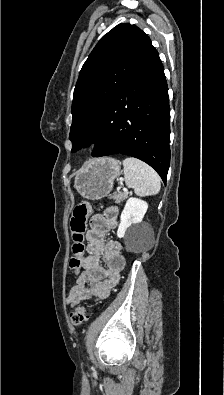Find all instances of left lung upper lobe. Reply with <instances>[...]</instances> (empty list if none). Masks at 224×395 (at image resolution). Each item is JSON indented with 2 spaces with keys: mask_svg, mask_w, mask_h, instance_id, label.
I'll return each instance as SVG.
<instances>
[{
  "mask_svg": "<svg viewBox=\"0 0 224 395\" xmlns=\"http://www.w3.org/2000/svg\"><path fill=\"white\" fill-rule=\"evenodd\" d=\"M154 50L148 35L128 23L117 25L99 40L74 90L72 152L94 141L105 110Z\"/></svg>",
  "mask_w": 224,
  "mask_h": 395,
  "instance_id": "left-lung-upper-lobe-1",
  "label": "left lung upper lobe"
}]
</instances>
